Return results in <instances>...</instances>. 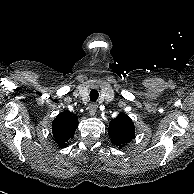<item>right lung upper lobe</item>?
<instances>
[{
  "mask_svg": "<svg viewBox=\"0 0 194 194\" xmlns=\"http://www.w3.org/2000/svg\"><path fill=\"white\" fill-rule=\"evenodd\" d=\"M77 124V117L70 112H61L56 116L52 122V133L60 148L66 147L68 140L73 138Z\"/></svg>",
  "mask_w": 194,
  "mask_h": 194,
  "instance_id": "obj_1",
  "label": "right lung upper lobe"
}]
</instances>
